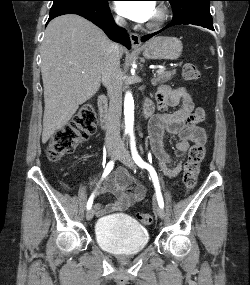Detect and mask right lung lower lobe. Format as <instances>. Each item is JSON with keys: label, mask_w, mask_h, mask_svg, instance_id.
I'll return each instance as SVG.
<instances>
[{"label": "right lung lower lobe", "mask_w": 250, "mask_h": 285, "mask_svg": "<svg viewBox=\"0 0 250 285\" xmlns=\"http://www.w3.org/2000/svg\"><path fill=\"white\" fill-rule=\"evenodd\" d=\"M64 14H77L90 20L95 25L103 29L112 40L120 42L130 49L131 43L128 33L125 29L119 28L114 24V20L110 15V10L107 4L98 10L76 9L55 16H49L48 22L53 18Z\"/></svg>", "instance_id": "right-lung-lower-lobe-1"}]
</instances>
